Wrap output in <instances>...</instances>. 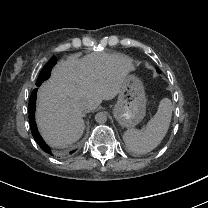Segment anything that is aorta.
I'll return each mask as SVG.
<instances>
[{
	"mask_svg": "<svg viewBox=\"0 0 208 208\" xmlns=\"http://www.w3.org/2000/svg\"><path fill=\"white\" fill-rule=\"evenodd\" d=\"M95 120L97 123L103 124L107 121V115L104 112H99L95 115Z\"/></svg>",
	"mask_w": 208,
	"mask_h": 208,
	"instance_id": "aorta-1",
	"label": "aorta"
}]
</instances>
